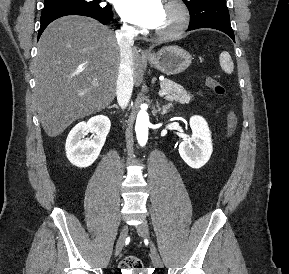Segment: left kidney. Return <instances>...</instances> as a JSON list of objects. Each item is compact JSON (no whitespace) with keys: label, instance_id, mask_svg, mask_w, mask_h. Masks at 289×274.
<instances>
[{"label":"left kidney","instance_id":"1","mask_svg":"<svg viewBox=\"0 0 289 274\" xmlns=\"http://www.w3.org/2000/svg\"><path fill=\"white\" fill-rule=\"evenodd\" d=\"M192 136L179 145L181 158L192 168L203 167L211 157L213 145L211 132L201 116L190 118Z\"/></svg>","mask_w":289,"mask_h":274}]
</instances>
